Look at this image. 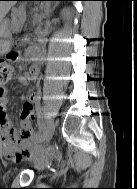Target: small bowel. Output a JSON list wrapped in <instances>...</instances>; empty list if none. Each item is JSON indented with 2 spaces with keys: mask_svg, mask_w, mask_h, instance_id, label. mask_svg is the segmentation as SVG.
<instances>
[{
  "mask_svg": "<svg viewBox=\"0 0 137 189\" xmlns=\"http://www.w3.org/2000/svg\"><path fill=\"white\" fill-rule=\"evenodd\" d=\"M41 70L40 64L32 65L27 75H18L17 81L26 85L28 81L37 80ZM39 89L33 90L20 111L21 128L14 127L9 119L6 106L9 94L6 88H0V140L6 157L19 161L32 155L31 146L35 138L32 127L33 106L39 102Z\"/></svg>",
  "mask_w": 137,
  "mask_h": 189,
  "instance_id": "1",
  "label": "small bowel"
}]
</instances>
